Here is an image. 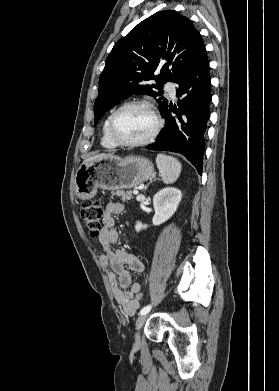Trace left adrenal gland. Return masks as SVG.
<instances>
[{
  "label": "left adrenal gland",
  "instance_id": "left-adrenal-gland-1",
  "mask_svg": "<svg viewBox=\"0 0 279 391\" xmlns=\"http://www.w3.org/2000/svg\"><path fill=\"white\" fill-rule=\"evenodd\" d=\"M155 180H156V178H155V179H153L152 181H150V183H149V184H151V183H152L153 181H155ZM149 184H148V185H149Z\"/></svg>",
  "mask_w": 279,
  "mask_h": 391
}]
</instances>
